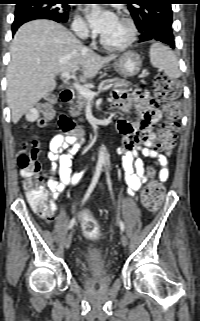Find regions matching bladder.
Instances as JSON below:
<instances>
[{
    "label": "bladder",
    "instance_id": "1",
    "mask_svg": "<svg viewBox=\"0 0 200 321\" xmlns=\"http://www.w3.org/2000/svg\"><path fill=\"white\" fill-rule=\"evenodd\" d=\"M85 257L89 260H101L103 258V254L100 251L90 249L85 254Z\"/></svg>",
    "mask_w": 200,
    "mask_h": 321
}]
</instances>
